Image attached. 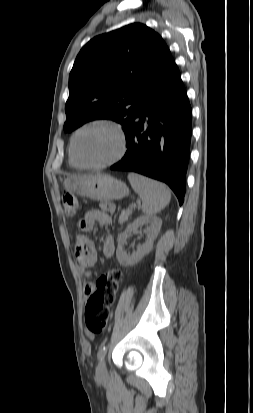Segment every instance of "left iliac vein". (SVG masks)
<instances>
[{"instance_id": "4c4485c4", "label": "left iliac vein", "mask_w": 253, "mask_h": 413, "mask_svg": "<svg viewBox=\"0 0 253 413\" xmlns=\"http://www.w3.org/2000/svg\"><path fill=\"white\" fill-rule=\"evenodd\" d=\"M96 376L98 379H104L107 376V367L105 359H101L96 367Z\"/></svg>"}]
</instances>
